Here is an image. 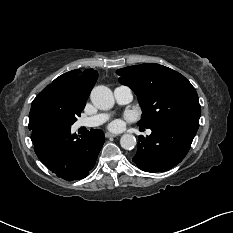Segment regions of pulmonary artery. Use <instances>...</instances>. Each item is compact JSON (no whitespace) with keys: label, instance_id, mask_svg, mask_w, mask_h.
<instances>
[{"label":"pulmonary artery","instance_id":"e3ab8cb5","mask_svg":"<svg viewBox=\"0 0 233 233\" xmlns=\"http://www.w3.org/2000/svg\"><path fill=\"white\" fill-rule=\"evenodd\" d=\"M114 98L120 105L127 104L132 101V90L127 86H118L114 89ZM108 119V114L100 113L91 117L79 120L78 125L84 127H96L103 124ZM151 131H148L150 134Z\"/></svg>","mask_w":233,"mask_h":233}]
</instances>
